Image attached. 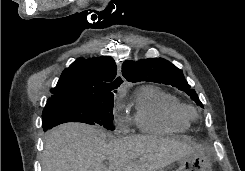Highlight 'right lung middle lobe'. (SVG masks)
<instances>
[{
    "label": "right lung middle lobe",
    "mask_w": 245,
    "mask_h": 171,
    "mask_svg": "<svg viewBox=\"0 0 245 171\" xmlns=\"http://www.w3.org/2000/svg\"><path fill=\"white\" fill-rule=\"evenodd\" d=\"M113 95L90 100H59L47 102L43 114V129L65 122H83L113 130Z\"/></svg>",
    "instance_id": "right-lung-middle-lobe-1"
}]
</instances>
